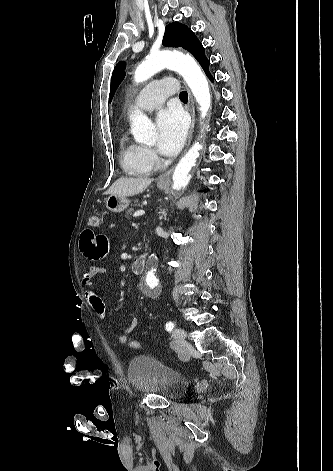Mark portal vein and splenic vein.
I'll return each instance as SVG.
<instances>
[{
	"instance_id": "18ae733b",
	"label": "portal vein and splenic vein",
	"mask_w": 333,
	"mask_h": 471,
	"mask_svg": "<svg viewBox=\"0 0 333 471\" xmlns=\"http://www.w3.org/2000/svg\"><path fill=\"white\" fill-rule=\"evenodd\" d=\"M145 214V211L144 210H138L134 213V217H137V216H142Z\"/></svg>"
}]
</instances>
